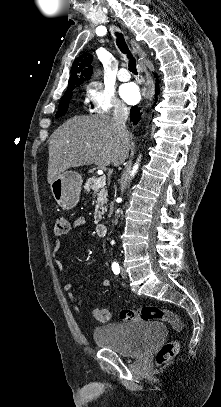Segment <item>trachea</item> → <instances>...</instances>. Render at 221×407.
<instances>
[{"mask_svg": "<svg viewBox=\"0 0 221 407\" xmlns=\"http://www.w3.org/2000/svg\"><path fill=\"white\" fill-rule=\"evenodd\" d=\"M116 37H117L116 42H117L118 48L120 49V51L123 54H126L129 59V71L134 74H137L136 60L133 58L132 54L130 53V50L125 42L123 34L116 33Z\"/></svg>", "mask_w": 221, "mask_h": 407, "instance_id": "trachea-1", "label": "trachea"}]
</instances>
